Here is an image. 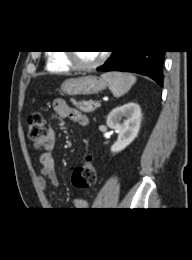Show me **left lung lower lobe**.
Instances as JSON below:
<instances>
[{"label": "left lung lower lobe", "mask_w": 192, "mask_h": 260, "mask_svg": "<svg viewBox=\"0 0 192 260\" xmlns=\"http://www.w3.org/2000/svg\"><path fill=\"white\" fill-rule=\"evenodd\" d=\"M165 51H116L97 69L99 71H127L149 76L163 86L162 64Z\"/></svg>", "instance_id": "left-lung-lower-lobe-1"}]
</instances>
